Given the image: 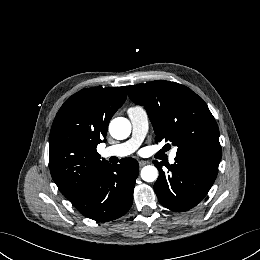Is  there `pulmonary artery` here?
I'll return each mask as SVG.
<instances>
[{
    "mask_svg": "<svg viewBox=\"0 0 260 260\" xmlns=\"http://www.w3.org/2000/svg\"><path fill=\"white\" fill-rule=\"evenodd\" d=\"M127 114L132 126V138L125 143L113 145L105 148L102 151V155L108 157H124L133 153L140 143L148 130V118L145 110L142 107H130L127 110ZM175 152L171 153L170 161L174 162Z\"/></svg>",
    "mask_w": 260,
    "mask_h": 260,
    "instance_id": "e3ab8cb5",
    "label": "pulmonary artery"
}]
</instances>
